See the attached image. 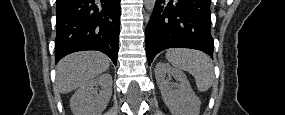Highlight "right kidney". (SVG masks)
I'll return each mask as SVG.
<instances>
[{
    "label": "right kidney",
    "instance_id": "obj_1",
    "mask_svg": "<svg viewBox=\"0 0 285 115\" xmlns=\"http://www.w3.org/2000/svg\"><path fill=\"white\" fill-rule=\"evenodd\" d=\"M94 87H100L99 93ZM112 96V76L108 73L85 83L72 96L70 108L74 115H100Z\"/></svg>",
    "mask_w": 285,
    "mask_h": 115
}]
</instances>
